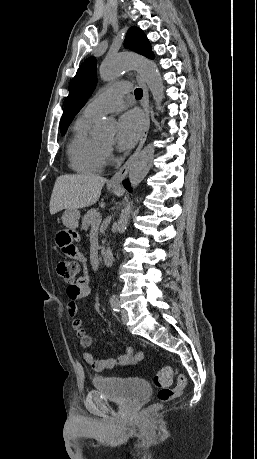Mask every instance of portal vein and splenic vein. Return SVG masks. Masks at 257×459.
<instances>
[{
    "label": "portal vein and splenic vein",
    "instance_id": "1",
    "mask_svg": "<svg viewBox=\"0 0 257 459\" xmlns=\"http://www.w3.org/2000/svg\"><path fill=\"white\" fill-rule=\"evenodd\" d=\"M100 223H101V216L99 214L97 218L94 219L93 226H99Z\"/></svg>",
    "mask_w": 257,
    "mask_h": 459
}]
</instances>
